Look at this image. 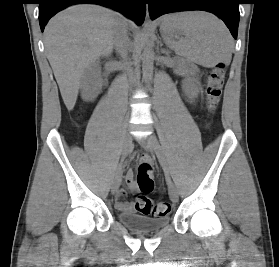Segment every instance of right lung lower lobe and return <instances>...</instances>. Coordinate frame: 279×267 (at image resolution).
I'll return each mask as SVG.
<instances>
[{"mask_svg": "<svg viewBox=\"0 0 279 267\" xmlns=\"http://www.w3.org/2000/svg\"><path fill=\"white\" fill-rule=\"evenodd\" d=\"M100 4L123 13L141 25L145 18V0H39V23L43 31L48 20L72 4Z\"/></svg>", "mask_w": 279, "mask_h": 267, "instance_id": "1", "label": "right lung lower lobe"}]
</instances>
